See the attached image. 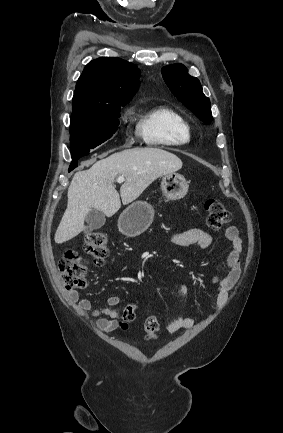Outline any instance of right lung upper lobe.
<instances>
[{
    "instance_id": "1",
    "label": "right lung upper lobe",
    "mask_w": 283,
    "mask_h": 433,
    "mask_svg": "<svg viewBox=\"0 0 283 433\" xmlns=\"http://www.w3.org/2000/svg\"><path fill=\"white\" fill-rule=\"evenodd\" d=\"M140 70L115 57L88 63L77 81L73 110L126 105L139 87Z\"/></svg>"
}]
</instances>
